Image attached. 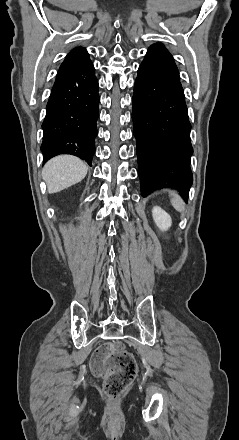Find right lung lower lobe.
Here are the masks:
<instances>
[{"label":"right lung lower lobe","instance_id":"98d812e1","mask_svg":"<svg viewBox=\"0 0 239 440\" xmlns=\"http://www.w3.org/2000/svg\"><path fill=\"white\" fill-rule=\"evenodd\" d=\"M99 101L92 62L62 63L42 124L44 162L56 155L71 154L91 165Z\"/></svg>","mask_w":239,"mask_h":440}]
</instances>
